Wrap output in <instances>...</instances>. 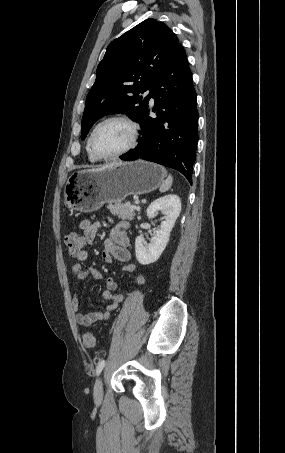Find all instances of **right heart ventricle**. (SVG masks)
<instances>
[{
  "instance_id": "1",
  "label": "right heart ventricle",
  "mask_w": 285,
  "mask_h": 453,
  "mask_svg": "<svg viewBox=\"0 0 285 453\" xmlns=\"http://www.w3.org/2000/svg\"><path fill=\"white\" fill-rule=\"evenodd\" d=\"M86 150H87V154H88V158L91 162H96L98 161V159L91 153L90 151V148H89V139L87 141V144H86Z\"/></svg>"
}]
</instances>
